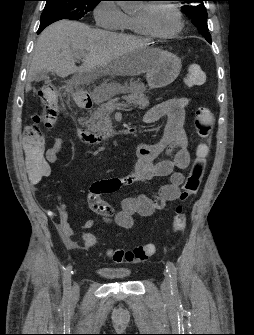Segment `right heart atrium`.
I'll use <instances>...</instances> for the list:
<instances>
[{
    "label": "right heart atrium",
    "mask_w": 254,
    "mask_h": 335,
    "mask_svg": "<svg viewBox=\"0 0 254 335\" xmlns=\"http://www.w3.org/2000/svg\"><path fill=\"white\" fill-rule=\"evenodd\" d=\"M94 18L98 26L118 30L123 28L127 15L114 1L108 0L96 6Z\"/></svg>",
    "instance_id": "1"
}]
</instances>
